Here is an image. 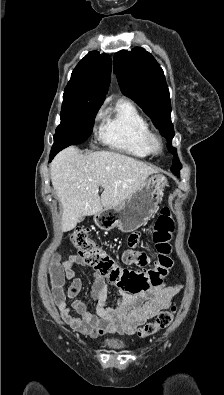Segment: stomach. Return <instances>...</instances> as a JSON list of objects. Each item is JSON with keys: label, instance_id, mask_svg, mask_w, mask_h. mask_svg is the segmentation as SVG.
I'll use <instances>...</instances> for the list:
<instances>
[{"label": "stomach", "instance_id": "0dacf381", "mask_svg": "<svg viewBox=\"0 0 224 395\" xmlns=\"http://www.w3.org/2000/svg\"><path fill=\"white\" fill-rule=\"evenodd\" d=\"M167 178L160 173L147 177L140 187L119 205L102 208L94 215L95 224L103 230L118 227L122 232H132L146 224L156 213Z\"/></svg>", "mask_w": 224, "mask_h": 395}]
</instances>
